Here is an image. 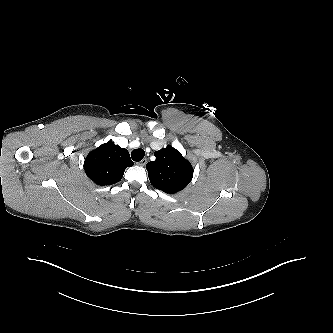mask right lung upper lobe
Instances as JSON below:
<instances>
[{
    "mask_svg": "<svg viewBox=\"0 0 333 333\" xmlns=\"http://www.w3.org/2000/svg\"><path fill=\"white\" fill-rule=\"evenodd\" d=\"M130 166H133V161L129 152L111 141L90 152L84 162L87 176L101 186L119 182Z\"/></svg>",
    "mask_w": 333,
    "mask_h": 333,
    "instance_id": "cb5924a9",
    "label": "right lung upper lobe"
}]
</instances>
